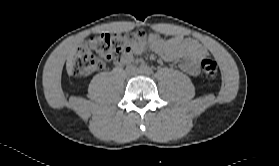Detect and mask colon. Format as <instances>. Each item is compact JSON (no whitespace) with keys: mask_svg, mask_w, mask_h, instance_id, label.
<instances>
[{"mask_svg":"<svg viewBox=\"0 0 279 166\" xmlns=\"http://www.w3.org/2000/svg\"><path fill=\"white\" fill-rule=\"evenodd\" d=\"M159 39H163L158 36ZM149 35L144 31L131 33H102L85 41L76 51L71 64L75 77H86L101 69L105 61H120L138 43L146 41ZM201 70L208 78H214L218 72L217 62L204 58Z\"/></svg>","mask_w":279,"mask_h":166,"instance_id":"colon-1","label":"colon"}]
</instances>
